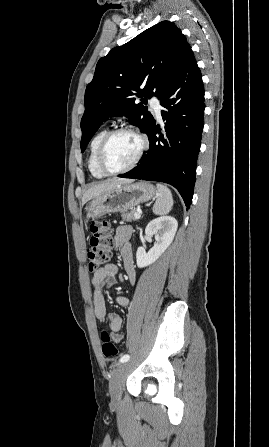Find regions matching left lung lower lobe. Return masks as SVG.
Returning a JSON list of instances; mask_svg holds the SVG:
<instances>
[{
	"label": "left lung lower lobe",
	"instance_id": "0a47b994",
	"mask_svg": "<svg viewBox=\"0 0 269 447\" xmlns=\"http://www.w3.org/2000/svg\"><path fill=\"white\" fill-rule=\"evenodd\" d=\"M165 127L156 126L155 119L146 132L150 148L140 164L119 175L174 186L190 207L200 151L204 116V86L191 47L187 49L173 79L160 98ZM160 136H157V134Z\"/></svg>",
	"mask_w": 269,
	"mask_h": 447
}]
</instances>
